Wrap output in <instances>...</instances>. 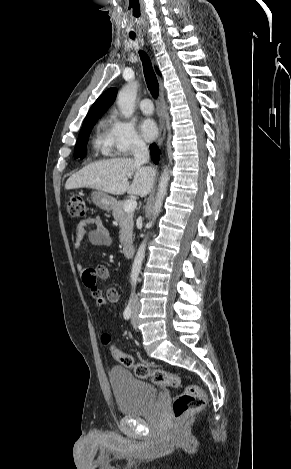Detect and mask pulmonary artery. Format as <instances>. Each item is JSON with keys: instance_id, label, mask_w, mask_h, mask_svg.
<instances>
[{"instance_id": "1", "label": "pulmonary artery", "mask_w": 291, "mask_h": 469, "mask_svg": "<svg viewBox=\"0 0 291 469\" xmlns=\"http://www.w3.org/2000/svg\"><path fill=\"white\" fill-rule=\"evenodd\" d=\"M140 109L144 114H152V112H153L152 101L148 98H144L140 102Z\"/></svg>"}]
</instances>
